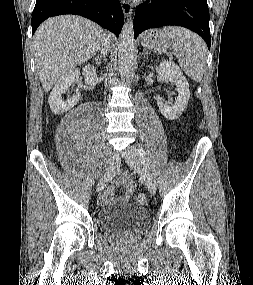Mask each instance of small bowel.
Here are the masks:
<instances>
[{
	"label": "small bowel",
	"mask_w": 253,
	"mask_h": 285,
	"mask_svg": "<svg viewBox=\"0 0 253 285\" xmlns=\"http://www.w3.org/2000/svg\"><path fill=\"white\" fill-rule=\"evenodd\" d=\"M117 183L120 186L125 188V194L119 197L114 196L115 190L113 187H108L100 198V203L104 206L116 203V202H125L127 201L135 192L134 182L128 178L126 174H122Z\"/></svg>",
	"instance_id": "c3829d8e"
}]
</instances>
